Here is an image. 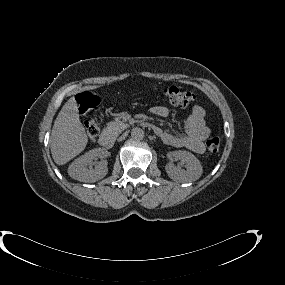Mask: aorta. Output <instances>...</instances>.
<instances>
[{
	"label": "aorta",
	"instance_id": "aorta-1",
	"mask_svg": "<svg viewBox=\"0 0 285 285\" xmlns=\"http://www.w3.org/2000/svg\"><path fill=\"white\" fill-rule=\"evenodd\" d=\"M131 136L134 140H143L145 134L141 128H133L131 131Z\"/></svg>",
	"mask_w": 285,
	"mask_h": 285
}]
</instances>
